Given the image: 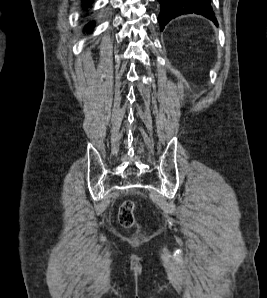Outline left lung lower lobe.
I'll return each mask as SVG.
<instances>
[{
    "label": "left lung lower lobe",
    "instance_id": "left-lung-lower-lobe-1",
    "mask_svg": "<svg viewBox=\"0 0 267 298\" xmlns=\"http://www.w3.org/2000/svg\"><path fill=\"white\" fill-rule=\"evenodd\" d=\"M161 5L158 21L161 31L164 26L173 18L182 14L195 13L214 21V13L210 0H158Z\"/></svg>",
    "mask_w": 267,
    "mask_h": 298
}]
</instances>
